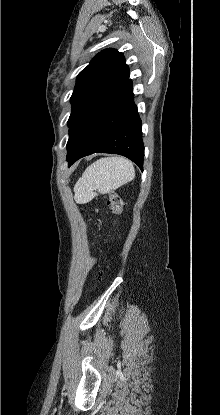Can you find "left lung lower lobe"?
Masks as SVG:
<instances>
[{"mask_svg":"<svg viewBox=\"0 0 220 415\" xmlns=\"http://www.w3.org/2000/svg\"><path fill=\"white\" fill-rule=\"evenodd\" d=\"M93 153L123 155L143 171L141 119L128 77L113 81L88 109L68 148L67 162Z\"/></svg>","mask_w":220,"mask_h":415,"instance_id":"left-lung-lower-lobe-1","label":"left lung lower lobe"}]
</instances>
